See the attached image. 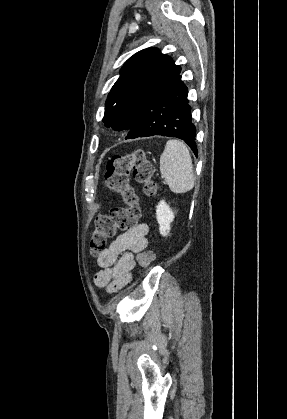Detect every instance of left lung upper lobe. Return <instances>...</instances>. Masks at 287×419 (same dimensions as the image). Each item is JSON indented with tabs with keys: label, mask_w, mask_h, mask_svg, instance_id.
Returning a JSON list of instances; mask_svg holds the SVG:
<instances>
[{
	"label": "left lung upper lobe",
	"mask_w": 287,
	"mask_h": 419,
	"mask_svg": "<svg viewBox=\"0 0 287 419\" xmlns=\"http://www.w3.org/2000/svg\"><path fill=\"white\" fill-rule=\"evenodd\" d=\"M181 67L157 48L134 54L121 69V75L105 103L103 122L114 130H129L141 106L171 86L180 76Z\"/></svg>",
	"instance_id": "left-lung-upper-lobe-1"
}]
</instances>
